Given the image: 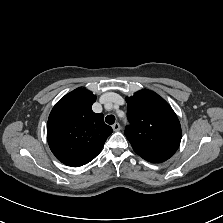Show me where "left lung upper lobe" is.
<instances>
[{
    "label": "left lung upper lobe",
    "instance_id": "1",
    "mask_svg": "<svg viewBox=\"0 0 223 223\" xmlns=\"http://www.w3.org/2000/svg\"><path fill=\"white\" fill-rule=\"evenodd\" d=\"M126 102L130 126L125 135L134 151L153 163L173 156L180 145L181 127L170 105L146 89L127 97Z\"/></svg>",
    "mask_w": 223,
    "mask_h": 223
}]
</instances>
